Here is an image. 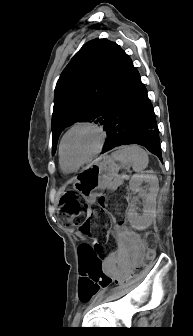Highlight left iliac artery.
I'll return each instance as SVG.
<instances>
[{
	"label": "left iliac artery",
	"instance_id": "obj_1",
	"mask_svg": "<svg viewBox=\"0 0 193 336\" xmlns=\"http://www.w3.org/2000/svg\"><path fill=\"white\" fill-rule=\"evenodd\" d=\"M80 317H81V312H77L73 319V323H72L73 326H77L79 324Z\"/></svg>",
	"mask_w": 193,
	"mask_h": 336
}]
</instances>
